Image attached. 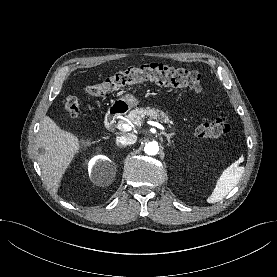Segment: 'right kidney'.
<instances>
[{"label": "right kidney", "mask_w": 277, "mask_h": 277, "mask_svg": "<svg viewBox=\"0 0 277 277\" xmlns=\"http://www.w3.org/2000/svg\"><path fill=\"white\" fill-rule=\"evenodd\" d=\"M96 162V163H95ZM109 163V159L105 156H97L95 159H93L90 162L89 165V172L91 173L93 168H95L97 165H102V164H108ZM95 181L98 184H102L105 183L104 178H102V172H99L96 176H95Z\"/></svg>", "instance_id": "right-kidney-1"}]
</instances>
